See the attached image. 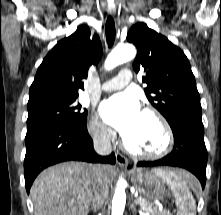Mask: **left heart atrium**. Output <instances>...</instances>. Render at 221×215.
<instances>
[{
  "instance_id": "39dd6f15",
  "label": "left heart atrium",
  "mask_w": 221,
  "mask_h": 215,
  "mask_svg": "<svg viewBox=\"0 0 221 215\" xmlns=\"http://www.w3.org/2000/svg\"><path fill=\"white\" fill-rule=\"evenodd\" d=\"M100 114L124 138L135 129L142 112L134 95L122 93L105 100L100 106Z\"/></svg>"
}]
</instances>
